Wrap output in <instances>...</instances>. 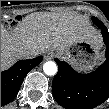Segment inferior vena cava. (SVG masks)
I'll use <instances>...</instances> for the list:
<instances>
[{
    "label": "inferior vena cava",
    "mask_w": 109,
    "mask_h": 109,
    "mask_svg": "<svg viewBox=\"0 0 109 109\" xmlns=\"http://www.w3.org/2000/svg\"><path fill=\"white\" fill-rule=\"evenodd\" d=\"M36 55H37V53L32 49L24 48V49L18 50V56L21 59H32V58L36 57Z\"/></svg>",
    "instance_id": "inferior-vena-cava-1"
}]
</instances>
